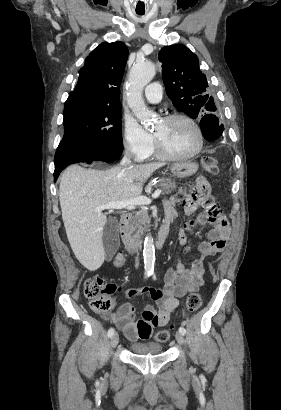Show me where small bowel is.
Returning <instances> with one entry per match:
<instances>
[{
  "label": "small bowel",
  "mask_w": 281,
  "mask_h": 410,
  "mask_svg": "<svg viewBox=\"0 0 281 410\" xmlns=\"http://www.w3.org/2000/svg\"><path fill=\"white\" fill-rule=\"evenodd\" d=\"M209 192V183L205 178L198 177L196 187L191 194H178L164 202V224L170 226L175 221L177 206H182L186 215H192L200 206L201 198ZM200 226H211L212 229L207 240L197 242L198 258L186 265L180 257L177 264L166 273L162 289L151 287L125 289L117 286L116 294H123L129 298L148 296L156 303L155 306L150 304L145 306L142 319H135V310L130 303H123L112 316V320L128 340H148L153 328L165 325L175 313L179 298L196 291L203 285V260L225 249L230 228L222 215L212 217L207 213H200L196 217L189 218L178 229L179 244L183 253H188L192 249L188 244V234H196V229Z\"/></svg>",
  "instance_id": "small-bowel-1"
}]
</instances>
